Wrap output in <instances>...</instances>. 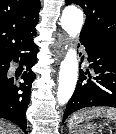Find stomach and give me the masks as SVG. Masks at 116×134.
I'll list each match as a JSON object with an SVG mask.
<instances>
[{
	"instance_id": "0dacf381",
	"label": "stomach",
	"mask_w": 116,
	"mask_h": 134,
	"mask_svg": "<svg viewBox=\"0 0 116 134\" xmlns=\"http://www.w3.org/2000/svg\"><path fill=\"white\" fill-rule=\"evenodd\" d=\"M93 126L91 125V124H87L86 126H85V129H87V130H89V129H91Z\"/></svg>"
}]
</instances>
